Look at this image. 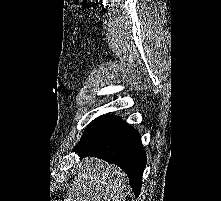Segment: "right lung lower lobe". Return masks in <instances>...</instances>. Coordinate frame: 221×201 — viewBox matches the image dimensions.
<instances>
[{
	"label": "right lung lower lobe",
	"mask_w": 221,
	"mask_h": 201,
	"mask_svg": "<svg viewBox=\"0 0 221 201\" xmlns=\"http://www.w3.org/2000/svg\"><path fill=\"white\" fill-rule=\"evenodd\" d=\"M74 151L81 158L95 156L118 165L128 175L134 194L139 195L146 154L140 134L125 121L113 116L97 118Z\"/></svg>",
	"instance_id": "right-lung-lower-lobe-1"
}]
</instances>
